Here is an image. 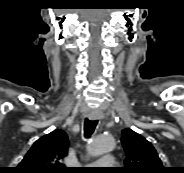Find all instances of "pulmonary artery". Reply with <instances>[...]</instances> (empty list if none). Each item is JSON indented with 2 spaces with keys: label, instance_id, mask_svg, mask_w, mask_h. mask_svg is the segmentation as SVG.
<instances>
[{
  "label": "pulmonary artery",
  "instance_id": "pulmonary-artery-1",
  "mask_svg": "<svg viewBox=\"0 0 184 173\" xmlns=\"http://www.w3.org/2000/svg\"><path fill=\"white\" fill-rule=\"evenodd\" d=\"M115 164L114 158L112 156H104L98 162L91 165V169H96L98 166L103 168H110Z\"/></svg>",
  "mask_w": 184,
  "mask_h": 173
}]
</instances>
